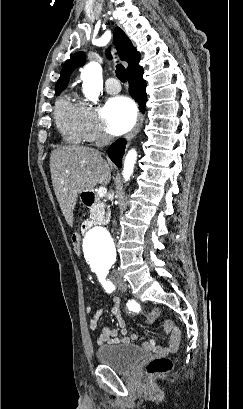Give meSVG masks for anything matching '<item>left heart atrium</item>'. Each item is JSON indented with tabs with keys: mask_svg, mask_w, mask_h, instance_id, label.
Masks as SVG:
<instances>
[{
	"mask_svg": "<svg viewBox=\"0 0 243 409\" xmlns=\"http://www.w3.org/2000/svg\"><path fill=\"white\" fill-rule=\"evenodd\" d=\"M136 106L124 96L111 98L101 111L106 130L112 135H121L132 128L136 121Z\"/></svg>",
	"mask_w": 243,
	"mask_h": 409,
	"instance_id": "1",
	"label": "left heart atrium"
}]
</instances>
